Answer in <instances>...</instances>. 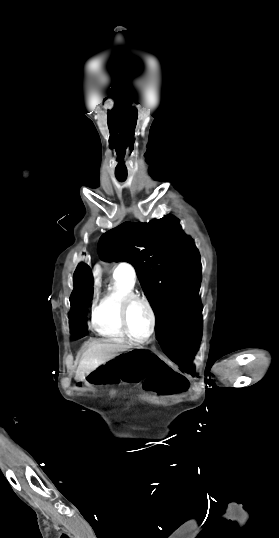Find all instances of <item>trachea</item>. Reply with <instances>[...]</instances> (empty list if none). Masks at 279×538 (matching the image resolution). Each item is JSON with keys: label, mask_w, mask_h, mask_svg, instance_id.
<instances>
[{"label": "trachea", "mask_w": 279, "mask_h": 538, "mask_svg": "<svg viewBox=\"0 0 279 538\" xmlns=\"http://www.w3.org/2000/svg\"><path fill=\"white\" fill-rule=\"evenodd\" d=\"M119 182H124L127 177H116Z\"/></svg>", "instance_id": "trachea-1"}]
</instances>
